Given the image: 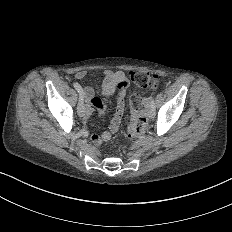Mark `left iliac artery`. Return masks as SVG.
<instances>
[{
	"mask_svg": "<svg viewBox=\"0 0 232 232\" xmlns=\"http://www.w3.org/2000/svg\"><path fill=\"white\" fill-rule=\"evenodd\" d=\"M150 99H151V107H152V109H155L156 105H155L154 95L153 94H151Z\"/></svg>",
	"mask_w": 232,
	"mask_h": 232,
	"instance_id": "1",
	"label": "left iliac artery"
}]
</instances>
